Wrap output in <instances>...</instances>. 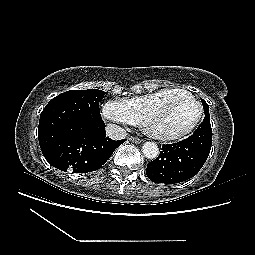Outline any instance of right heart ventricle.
<instances>
[{
  "label": "right heart ventricle",
  "instance_id": "e07e8e85",
  "mask_svg": "<svg viewBox=\"0 0 255 255\" xmlns=\"http://www.w3.org/2000/svg\"><path fill=\"white\" fill-rule=\"evenodd\" d=\"M183 89L163 88L153 92L136 96L124 102L132 113L136 124H142L147 114L155 109L161 102Z\"/></svg>",
  "mask_w": 255,
  "mask_h": 255
}]
</instances>
